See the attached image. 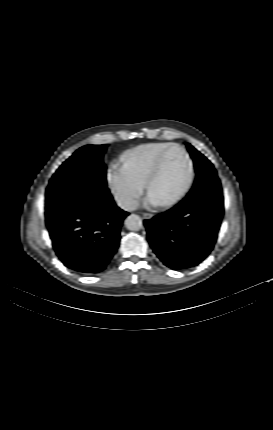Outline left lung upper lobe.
<instances>
[{
    "instance_id": "obj_1",
    "label": "left lung upper lobe",
    "mask_w": 273,
    "mask_h": 430,
    "mask_svg": "<svg viewBox=\"0 0 273 430\" xmlns=\"http://www.w3.org/2000/svg\"><path fill=\"white\" fill-rule=\"evenodd\" d=\"M190 155L194 160L196 167L197 179L193 187L200 185L207 177L218 178L217 173L209 160L204 157L200 152L194 149L189 143L186 144Z\"/></svg>"
}]
</instances>
